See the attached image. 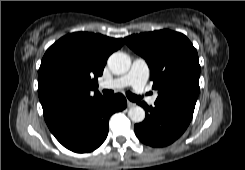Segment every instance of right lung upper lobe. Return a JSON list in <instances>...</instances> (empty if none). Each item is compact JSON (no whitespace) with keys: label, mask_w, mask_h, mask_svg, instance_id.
Segmentation results:
<instances>
[{"label":"right lung upper lobe","mask_w":245,"mask_h":170,"mask_svg":"<svg viewBox=\"0 0 245 170\" xmlns=\"http://www.w3.org/2000/svg\"><path fill=\"white\" fill-rule=\"evenodd\" d=\"M123 44L121 38L76 32L48 48L39 68L38 94L52 133L102 97L96 91L97 77L103 74L109 55Z\"/></svg>","instance_id":"cb5924a9"}]
</instances>
